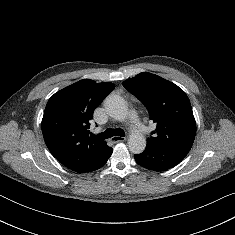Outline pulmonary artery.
I'll list each match as a JSON object with an SVG mask.
<instances>
[{
    "label": "pulmonary artery",
    "mask_w": 235,
    "mask_h": 235,
    "mask_svg": "<svg viewBox=\"0 0 235 235\" xmlns=\"http://www.w3.org/2000/svg\"><path fill=\"white\" fill-rule=\"evenodd\" d=\"M130 122L135 129H137L139 131L144 130V126L140 123V121L134 111L130 112Z\"/></svg>",
    "instance_id": "obj_1"
}]
</instances>
